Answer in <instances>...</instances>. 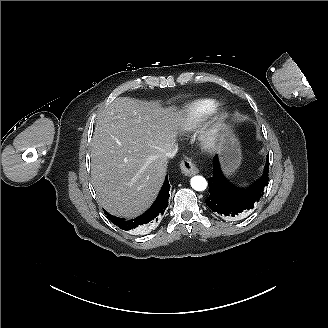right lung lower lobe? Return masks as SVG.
Listing matches in <instances>:
<instances>
[{
	"label": "right lung lower lobe",
	"mask_w": 328,
	"mask_h": 328,
	"mask_svg": "<svg viewBox=\"0 0 328 328\" xmlns=\"http://www.w3.org/2000/svg\"><path fill=\"white\" fill-rule=\"evenodd\" d=\"M170 185L168 182V175L165 178L162 189L160 190L156 201L153 205L141 216L134 219L126 220L124 218L115 217L105 212L108 218L113 224L121 228L122 230L128 231L132 229H143L148 226L149 223L157 222L160 216L164 213L168 205Z\"/></svg>",
	"instance_id": "obj_1"
}]
</instances>
